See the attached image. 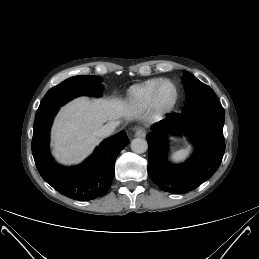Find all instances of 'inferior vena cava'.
Here are the masks:
<instances>
[{"label":"inferior vena cava","instance_id":"inferior-vena-cava-1","mask_svg":"<svg viewBox=\"0 0 259 259\" xmlns=\"http://www.w3.org/2000/svg\"><path fill=\"white\" fill-rule=\"evenodd\" d=\"M119 123L116 122V121H112V122H108L107 124H105L104 126H102L101 128L97 129L96 131H94V135L96 137H99V138H105V137H108L109 135H111L116 126L118 125Z\"/></svg>","mask_w":259,"mask_h":259}]
</instances>
